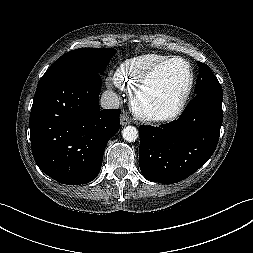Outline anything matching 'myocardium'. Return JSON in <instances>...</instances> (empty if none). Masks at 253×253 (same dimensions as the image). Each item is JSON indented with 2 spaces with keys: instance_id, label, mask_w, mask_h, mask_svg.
<instances>
[{
  "instance_id": "1",
  "label": "myocardium",
  "mask_w": 253,
  "mask_h": 253,
  "mask_svg": "<svg viewBox=\"0 0 253 253\" xmlns=\"http://www.w3.org/2000/svg\"><path fill=\"white\" fill-rule=\"evenodd\" d=\"M178 61L184 63L189 69V83L188 86L183 93V95L179 98L174 108L167 113H157L153 112L141 103L142 95L147 88L148 83L150 82L153 75L165 65ZM195 82V71L192 64L183 57H169L162 61H159L152 65L142 76L140 81L138 82L136 88L131 94V107L136 116L141 118L144 121L152 122V123H162V122H170L178 118L185 109V106L188 102V99L192 93Z\"/></svg>"
}]
</instances>
